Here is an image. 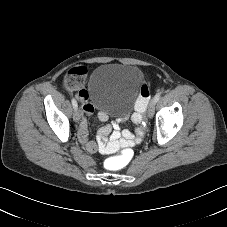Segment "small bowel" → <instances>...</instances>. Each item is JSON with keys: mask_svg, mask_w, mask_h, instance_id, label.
Segmentation results:
<instances>
[{"mask_svg": "<svg viewBox=\"0 0 227 227\" xmlns=\"http://www.w3.org/2000/svg\"><path fill=\"white\" fill-rule=\"evenodd\" d=\"M75 74L80 75L81 80L85 78L87 69L83 66L74 69ZM78 99L83 104L85 117L79 126V138L85 144L88 152L94 153L97 151L111 153L119 149H124L141 142V137L134 138L129 131L121 132L117 122H112L110 125L103 126L95 140H91L87 136V116L93 115L96 112L94 105L89 102L87 92L82 89L77 94ZM98 120L105 122L108 120L107 112L101 110L97 113Z\"/></svg>", "mask_w": 227, "mask_h": 227, "instance_id": "c3829d8e", "label": "small bowel"}]
</instances>
